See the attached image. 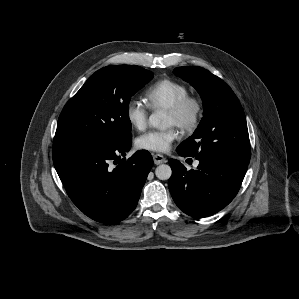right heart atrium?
Wrapping results in <instances>:
<instances>
[{
  "instance_id": "obj_1",
  "label": "right heart atrium",
  "mask_w": 299,
  "mask_h": 299,
  "mask_svg": "<svg viewBox=\"0 0 299 299\" xmlns=\"http://www.w3.org/2000/svg\"><path fill=\"white\" fill-rule=\"evenodd\" d=\"M148 110L138 100L130 99L125 107V116L129 124L136 130H144L148 124Z\"/></svg>"
}]
</instances>
